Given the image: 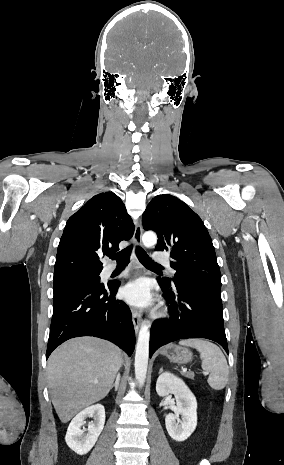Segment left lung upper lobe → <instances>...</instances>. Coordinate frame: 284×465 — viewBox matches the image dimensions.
<instances>
[{"label":"left lung upper lobe","mask_w":284,"mask_h":465,"mask_svg":"<svg viewBox=\"0 0 284 465\" xmlns=\"http://www.w3.org/2000/svg\"><path fill=\"white\" fill-rule=\"evenodd\" d=\"M145 230L158 235L156 251H170L174 279L221 288V273L212 239L201 218L169 194L154 197L142 216ZM169 284L174 279L164 278Z\"/></svg>","instance_id":"5c2ea615"}]
</instances>
